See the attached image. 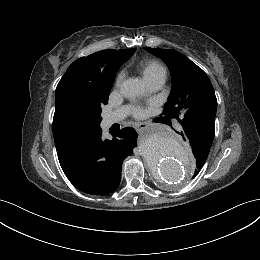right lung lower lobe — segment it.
Returning <instances> with one entry per match:
<instances>
[{"label":"right lung lower lobe","mask_w":260,"mask_h":260,"mask_svg":"<svg viewBox=\"0 0 260 260\" xmlns=\"http://www.w3.org/2000/svg\"><path fill=\"white\" fill-rule=\"evenodd\" d=\"M102 139L100 127L71 134L56 142L58 159L69 181L80 191L105 196L117 189L124 159L137 146L136 131L126 127Z\"/></svg>","instance_id":"1"}]
</instances>
